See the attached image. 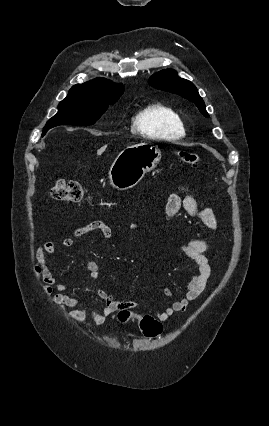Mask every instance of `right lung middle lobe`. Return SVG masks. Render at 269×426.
<instances>
[{"mask_svg": "<svg viewBox=\"0 0 269 426\" xmlns=\"http://www.w3.org/2000/svg\"><path fill=\"white\" fill-rule=\"evenodd\" d=\"M117 98L90 97L85 95H68L58 106V113L44 127V131L65 124L92 125L114 104Z\"/></svg>", "mask_w": 269, "mask_h": 426, "instance_id": "1", "label": "right lung middle lobe"}]
</instances>
